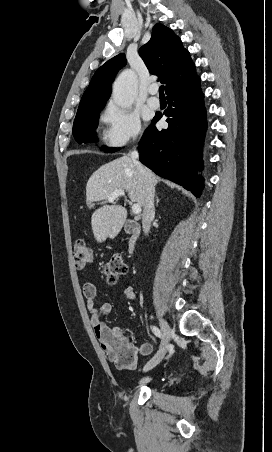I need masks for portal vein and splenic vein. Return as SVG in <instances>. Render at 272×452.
Returning <instances> with one entry per match:
<instances>
[{"mask_svg": "<svg viewBox=\"0 0 272 452\" xmlns=\"http://www.w3.org/2000/svg\"><path fill=\"white\" fill-rule=\"evenodd\" d=\"M125 196V192L123 190H116L114 192H112L109 197H108V201L109 202H113L116 198L118 197H122ZM132 212L134 214H140L141 213V206L139 204H133L132 205Z\"/></svg>", "mask_w": 272, "mask_h": 452, "instance_id": "18ae733b", "label": "portal vein and splenic vein"}]
</instances>
